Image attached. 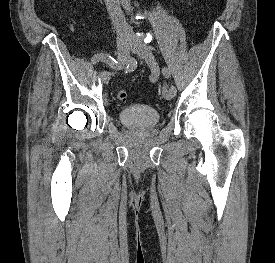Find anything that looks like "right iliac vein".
<instances>
[{
  "label": "right iliac vein",
  "mask_w": 275,
  "mask_h": 263,
  "mask_svg": "<svg viewBox=\"0 0 275 263\" xmlns=\"http://www.w3.org/2000/svg\"><path fill=\"white\" fill-rule=\"evenodd\" d=\"M130 42L127 39L120 38L117 41V59L123 63L126 61L129 52ZM111 73L104 71L101 73L100 78L103 83L107 84L110 80Z\"/></svg>",
  "instance_id": "63e3f726"
}]
</instances>
